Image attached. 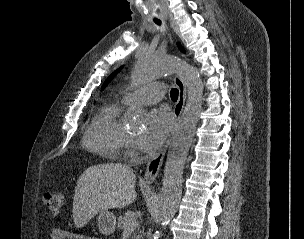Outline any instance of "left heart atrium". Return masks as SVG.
<instances>
[{
  "instance_id": "39dd6f15",
  "label": "left heart atrium",
  "mask_w": 304,
  "mask_h": 239,
  "mask_svg": "<svg viewBox=\"0 0 304 239\" xmlns=\"http://www.w3.org/2000/svg\"><path fill=\"white\" fill-rule=\"evenodd\" d=\"M172 127L170 112L161 107L151 114L146 130L139 137V145L146 152L157 149L167 137Z\"/></svg>"
}]
</instances>
